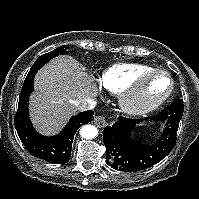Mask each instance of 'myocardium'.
I'll use <instances>...</instances> for the list:
<instances>
[{"instance_id":"1","label":"myocardium","mask_w":199,"mask_h":199,"mask_svg":"<svg viewBox=\"0 0 199 199\" xmlns=\"http://www.w3.org/2000/svg\"><path fill=\"white\" fill-rule=\"evenodd\" d=\"M156 76H165L170 81V87L166 93L157 99L150 100L145 97V87L147 83ZM175 89V80L171 74L165 70L154 69L140 75L136 81L122 95V104L127 112L134 115L149 113L164 102L172 95Z\"/></svg>"}]
</instances>
